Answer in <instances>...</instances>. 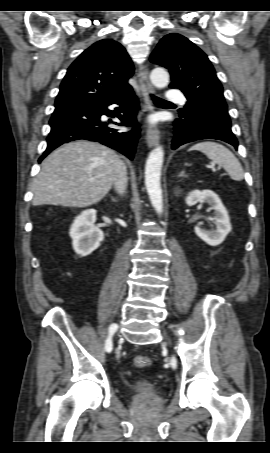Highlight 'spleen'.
Wrapping results in <instances>:
<instances>
[{
    "mask_svg": "<svg viewBox=\"0 0 270 453\" xmlns=\"http://www.w3.org/2000/svg\"><path fill=\"white\" fill-rule=\"evenodd\" d=\"M189 150H198L204 153L209 159L223 167L228 172L231 179L241 181L244 178L241 163L225 146L216 142L206 141L195 144Z\"/></svg>",
    "mask_w": 270,
    "mask_h": 453,
    "instance_id": "3e777b00",
    "label": "spleen"
}]
</instances>
